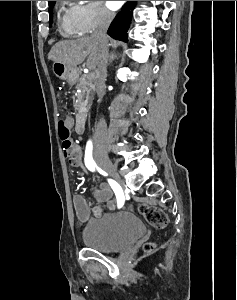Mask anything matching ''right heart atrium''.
I'll list each match as a JSON object with an SVG mask.
<instances>
[{"instance_id": "obj_1", "label": "right heart atrium", "mask_w": 237, "mask_h": 300, "mask_svg": "<svg viewBox=\"0 0 237 300\" xmlns=\"http://www.w3.org/2000/svg\"><path fill=\"white\" fill-rule=\"evenodd\" d=\"M71 13L79 34H88L98 27L109 25L115 17L102 1L75 4Z\"/></svg>"}]
</instances>
